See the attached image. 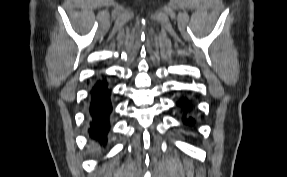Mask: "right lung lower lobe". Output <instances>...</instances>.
I'll use <instances>...</instances> for the list:
<instances>
[{
  "instance_id": "1",
  "label": "right lung lower lobe",
  "mask_w": 287,
  "mask_h": 177,
  "mask_svg": "<svg viewBox=\"0 0 287 177\" xmlns=\"http://www.w3.org/2000/svg\"><path fill=\"white\" fill-rule=\"evenodd\" d=\"M111 91L104 79L97 80L89 96V134L107 141V134L110 130L109 117L112 112L110 101Z\"/></svg>"
}]
</instances>
